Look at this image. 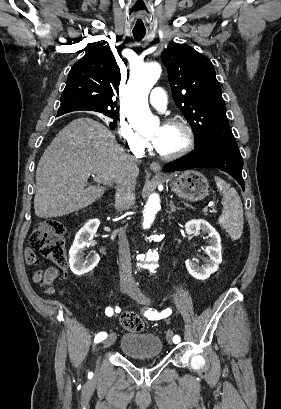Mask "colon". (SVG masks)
<instances>
[{"label": "colon", "mask_w": 281, "mask_h": 409, "mask_svg": "<svg viewBox=\"0 0 281 409\" xmlns=\"http://www.w3.org/2000/svg\"><path fill=\"white\" fill-rule=\"evenodd\" d=\"M65 224L55 218L42 219L30 237L28 249H40L45 258L57 265H66V242L64 238ZM121 325L130 331L139 332L144 328L142 318L129 312L121 317Z\"/></svg>", "instance_id": "5ec220e1"}]
</instances>
